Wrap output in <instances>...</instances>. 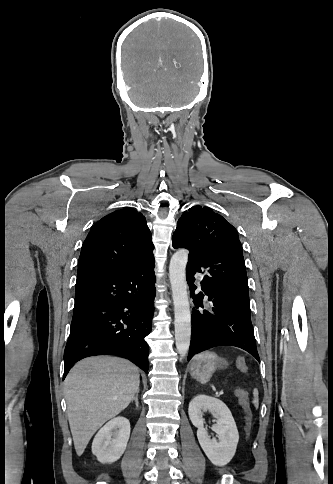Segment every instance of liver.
Returning a JSON list of instances; mask_svg holds the SVG:
<instances>
[{
	"label": "liver",
	"mask_w": 333,
	"mask_h": 484,
	"mask_svg": "<svg viewBox=\"0 0 333 484\" xmlns=\"http://www.w3.org/2000/svg\"><path fill=\"white\" fill-rule=\"evenodd\" d=\"M139 384L138 369L121 358H86L70 370L64 382L65 398L78 456L94 433L129 405Z\"/></svg>",
	"instance_id": "1"
}]
</instances>
